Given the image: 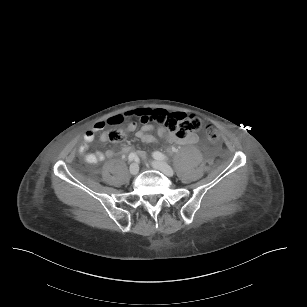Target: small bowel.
<instances>
[{
  "mask_svg": "<svg viewBox=\"0 0 307 307\" xmlns=\"http://www.w3.org/2000/svg\"><path fill=\"white\" fill-rule=\"evenodd\" d=\"M152 111L146 108H138L131 112V115L137 116L139 119L144 120V125L136 132L137 138L144 143L156 142V138L151 134L153 126L150 124V113ZM103 129L102 123H97L92 129L88 130L84 135V143L79 147V152L84 156V159L88 163H97L103 161L106 157L110 158L116 154L113 149H108L105 153H86L88 146L95 139V134ZM135 129V126L132 130ZM131 131V130H130ZM157 134L160 138L164 139L168 143L173 144H196L198 143V135L196 133H191L183 138L177 137L174 133L167 131L164 128H158ZM103 139L104 136H103ZM131 150V146L128 143L122 144L120 152L123 154L128 153ZM138 156L143 157L144 152H138Z\"/></svg>",
  "mask_w": 307,
  "mask_h": 307,
  "instance_id": "1",
  "label": "small bowel"
}]
</instances>
